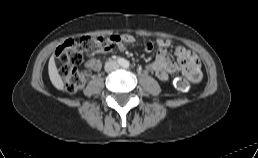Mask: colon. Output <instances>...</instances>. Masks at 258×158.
<instances>
[{
	"mask_svg": "<svg viewBox=\"0 0 258 158\" xmlns=\"http://www.w3.org/2000/svg\"><path fill=\"white\" fill-rule=\"evenodd\" d=\"M121 42V37L116 35L107 37L84 36L79 41L66 40L56 50V56L59 60L58 74L64 82L65 89L70 93H75L80 91L86 83L88 74L76 68L83 61V52L88 57H93L103 52L115 50ZM176 87L182 92H188L190 83L186 78H179L176 81Z\"/></svg>",
	"mask_w": 258,
	"mask_h": 158,
	"instance_id": "5ec220e1",
	"label": "colon"
}]
</instances>
